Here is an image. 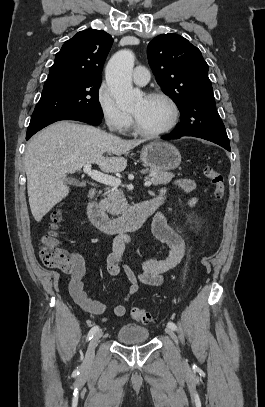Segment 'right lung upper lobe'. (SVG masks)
<instances>
[{
  "label": "right lung upper lobe",
  "mask_w": 265,
  "mask_h": 407,
  "mask_svg": "<svg viewBox=\"0 0 265 407\" xmlns=\"http://www.w3.org/2000/svg\"><path fill=\"white\" fill-rule=\"evenodd\" d=\"M113 38L103 30L87 29L66 41L55 56L50 76L67 74L90 80H101L102 67Z\"/></svg>",
  "instance_id": "1"
}]
</instances>
